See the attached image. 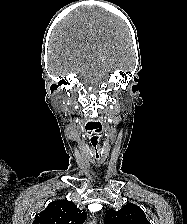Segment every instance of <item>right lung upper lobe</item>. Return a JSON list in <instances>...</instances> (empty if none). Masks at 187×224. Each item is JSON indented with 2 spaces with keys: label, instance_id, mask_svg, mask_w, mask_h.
<instances>
[{
  "label": "right lung upper lobe",
  "instance_id": "right-lung-upper-lobe-1",
  "mask_svg": "<svg viewBox=\"0 0 187 224\" xmlns=\"http://www.w3.org/2000/svg\"><path fill=\"white\" fill-rule=\"evenodd\" d=\"M87 218L84 210L67 200H57L36 214L33 224H83Z\"/></svg>",
  "mask_w": 187,
  "mask_h": 224
}]
</instances>
